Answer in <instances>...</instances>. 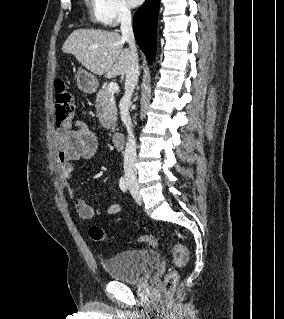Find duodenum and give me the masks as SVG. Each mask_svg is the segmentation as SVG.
<instances>
[{"label":"duodenum","instance_id":"obj_1","mask_svg":"<svg viewBox=\"0 0 284 319\" xmlns=\"http://www.w3.org/2000/svg\"><path fill=\"white\" fill-rule=\"evenodd\" d=\"M112 140L117 149H122L124 147L125 137L121 132H114Z\"/></svg>","mask_w":284,"mask_h":319}]
</instances>
